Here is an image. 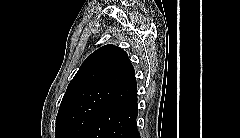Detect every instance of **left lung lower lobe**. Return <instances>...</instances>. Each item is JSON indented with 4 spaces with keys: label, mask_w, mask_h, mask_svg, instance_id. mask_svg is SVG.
<instances>
[{
    "label": "left lung lower lobe",
    "mask_w": 240,
    "mask_h": 138,
    "mask_svg": "<svg viewBox=\"0 0 240 138\" xmlns=\"http://www.w3.org/2000/svg\"><path fill=\"white\" fill-rule=\"evenodd\" d=\"M137 115V84L132 67L82 138H140Z\"/></svg>",
    "instance_id": "0a47b994"
}]
</instances>
